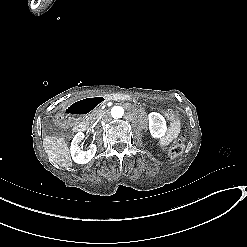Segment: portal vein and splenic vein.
Listing matches in <instances>:
<instances>
[{
    "label": "portal vein and splenic vein",
    "instance_id": "obj_1",
    "mask_svg": "<svg viewBox=\"0 0 247 247\" xmlns=\"http://www.w3.org/2000/svg\"><path fill=\"white\" fill-rule=\"evenodd\" d=\"M107 107V104H103L102 106H101V109H102V111H105V108Z\"/></svg>",
    "mask_w": 247,
    "mask_h": 247
}]
</instances>
